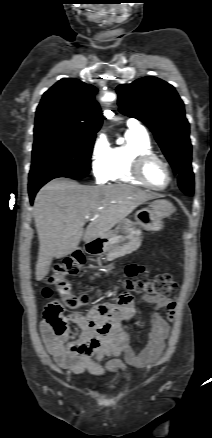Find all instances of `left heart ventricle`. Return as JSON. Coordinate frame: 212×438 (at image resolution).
Masks as SVG:
<instances>
[{"label":"left heart ventricle","instance_id":"1","mask_svg":"<svg viewBox=\"0 0 212 438\" xmlns=\"http://www.w3.org/2000/svg\"><path fill=\"white\" fill-rule=\"evenodd\" d=\"M145 177L153 185L157 187L164 186L168 181V176L163 165L158 161H151L145 168Z\"/></svg>","mask_w":212,"mask_h":438}]
</instances>
